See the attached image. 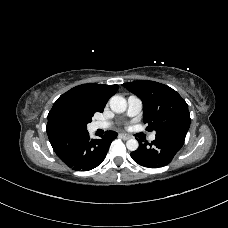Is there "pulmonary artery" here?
<instances>
[{"label":"pulmonary artery","instance_id":"pulmonary-artery-1","mask_svg":"<svg viewBox=\"0 0 228 228\" xmlns=\"http://www.w3.org/2000/svg\"><path fill=\"white\" fill-rule=\"evenodd\" d=\"M127 104V115L130 117L138 115L142 110V101L136 95H130L127 99ZM108 126L109 123L101 121H97L93 124V127L95 129L107 128ZM155 138L156 136L154 133L149 136L150 141H154Z\"/></svg>","mask_w":228,"mask_h":228}]
</instances>
